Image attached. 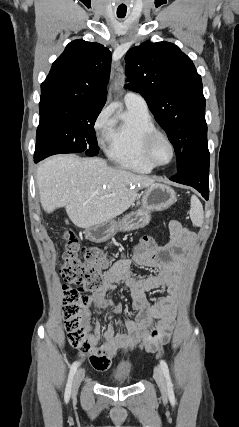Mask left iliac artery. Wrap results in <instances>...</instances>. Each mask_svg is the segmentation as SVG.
<instances>
[{
  "label": "left iliac artery",
  "instance_id": "left-iliac-artery-1",
  "mask_svg": "<svg viewBox=\"0 0 239 427\" xmlns=\"http://www.w3.org/2000/svg\"><path fill=\"white\" fill-rule=\"evenodd\" d=\"M160 367H161L162 372H163L165 379H166L168 396H169L170 400L172 402H174L175 401L174 389H173V384L171 381L168 365L164 360H161L160 361Z\"/></svg>",
  "mask_w": 239,
  "mask_h": 427
}]
</instances>
